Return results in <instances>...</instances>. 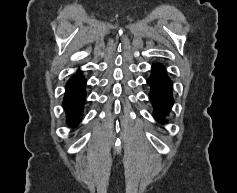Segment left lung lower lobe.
I'll return each instance as SVG.
<instances>
[{
	"instance_id": "1",
	"label": "left lung lower lobe",
	"mask_w": 237,
	"mask_h": 193,
	"mask_svg": "<svg viewBox=\"0 0 237 193\" xmlns=\"http://www.w3.org/2000/svg\"><path fill=\"white\" fill-rule=\"evenodd\" d=\"M151 87L150 100L154 107V115L158 121L165 122V116L173 105L172 82L161 64L152 66V74L147 80Z\"/></svg>"
}]
</instances>
